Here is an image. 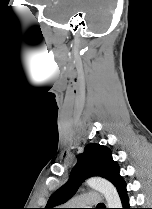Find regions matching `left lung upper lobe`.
I'll return each instance as SVG.
<instances>
[{
	"mask_svg": "<svg viewBox=\"0 0 152 209\" xmlns=\"http://www.w3.org/2000/svg\"><path fill=\"white\" fill-rule=\"evenodd\" d=\"M119 172V165L112 159V153L108 147L95 143L89 144L78 156L68 181L50 196L44 209H56V206L65 203L76 193L81 183L92 176L105 178L118 189L124 183Z\"/></svg>",
	"mask_w": 152,
	"mask_h": 209,
	"instance_id": "1",
	"label": "left lung upper lobe"
}]
</instances>
